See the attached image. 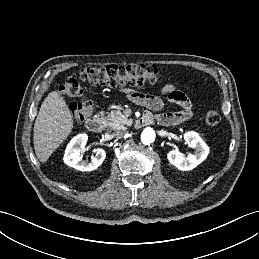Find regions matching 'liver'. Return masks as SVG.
I'll return each instance as SVG.
<instances>
[{
  "label": "liver",
  "instance_id": "1",
  "mask_svg": "<svg viewBox=\"0 0 259 259\" xmlns=\"http://www.w3.org/2000/svg\"><path fill=\"white\" fill-rule=\"evenodd\" d=\"M73 115L59 91L43 101L34 124L33 143L37 158L45 163L73 129Z\"/></svg>",
  "mask_w": 259,
  "mask_h": 259
}]
</instances>
